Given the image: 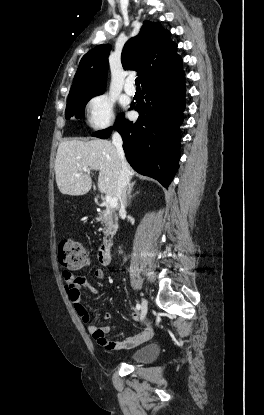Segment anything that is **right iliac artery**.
<instances>
[{"mask_svg":"<svg viewBox=\"0 0 264 415\" xmlns=\"http://www.w3.org/2000/svg\"><path fill=\"white\" fill-rule=\"evenodd\" d=\"M136 308H137L138 310H140L141 305H140V304H137V305H136Z\"/></svg>","mask_w":264,"mask_h":415,"instance_id":"obj_1","label":"right iliac artery"}]
</instances>
